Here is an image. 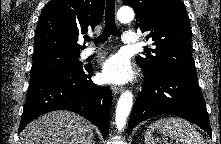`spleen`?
Masks as SVG:
<instances>
[{"label":"spleen","instance_id":"3e777b00","mask_svg":"<svg viewBox=\"0 0 221 144\" xmlns=\"http://www.w3.org/2000/svg\"><path fill=\"white\" fill-rule=\"evenodd\" d=\"M159 129L182 144H205L201 134L188 121L178 117H166L155 121L145 133V144H155L152 132Z\"/></svg>","mask_w":221,"mask_h":144}]
</instances>
